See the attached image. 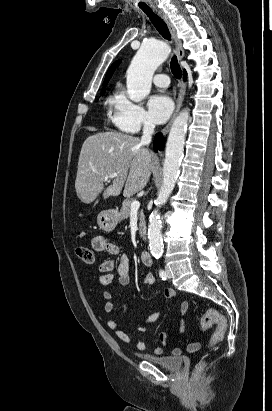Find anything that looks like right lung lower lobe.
I'll use <instances>...</instances> for the list:
<instances>
[{
    "mask_svg": "<svg viewBox=\"0 0 272 411\" xmlns=\"http://www.w3.org/2000/svg\"><path fill=\"white\" fill-rule=\"evenodd\" d=\"M186 76V72L184 71V79ZM154 150L157 151L158 149H163V136L161 133H157L154 138L153 142Z\"/></svg>",
    "mask_w": 272,
    "mask_h": 411,
    "instance_id": "98d812e1",
    "label": "right lung lower lobe"
}]
</instances>
